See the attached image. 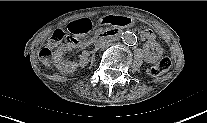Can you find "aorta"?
I'll use <instances>...</instances> for the list:
<instances>
[{
  "label": "aorta",
  "instance_id": "aorta-1",
  "mask_svg": "<svg viewBox=\"0 0 207 123\" xmlns=\"http://www.w3.org/2000/svg\"><path fill=\"white\" fill-rule=\"evenodd\" d=\"M123 41L127 45H134L137 41V37L133 32L127 31L123 34Z\"/></svg>",
  "mask_w": 207,
  "mask_h": 123
}]
</instances>
